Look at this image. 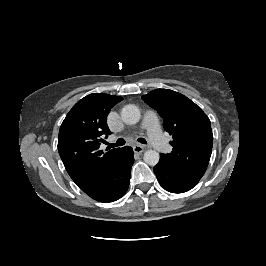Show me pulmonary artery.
Here are the masks:
<instances>
[{"label": "pulmonary artery", "mask_w": 266, "mask_h": 266, "mask_svg": "<svg viewBox=\"0 0 266 266\" xmlns=\"http://www.w3.org/2000/svg\"><path fill=\"white\" fill-rule=\"evenodd\" d=\"M142 127L147 130L148 138L155 149L162 151L166 148L167 141L162 133L159 118L154 111L147 110L145 112Z\"/></svg>", "instance_id": "1"}]
</instances>
